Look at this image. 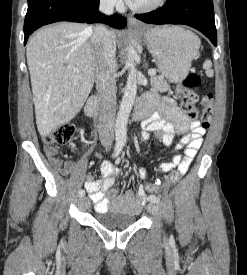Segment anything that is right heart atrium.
Here are the masks:
<instances>
[{
	"mask_svg": "<svg viewBox=\"0 0 247 275\" xmlns=\"http://www.w3.org/2000/svg\"><path fill=\"white\" fill-rule=\"evenodd\" d=\"M100 4L106 9H113L120 6V0H100Z\"/></svg>",
	"mask_w": 247,
	"mask_h": 275,
	"instance_id": "obj_1",
	"label": "right heart atrium"
}]
</instances>
